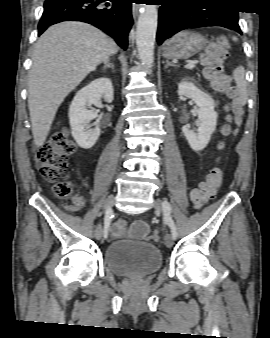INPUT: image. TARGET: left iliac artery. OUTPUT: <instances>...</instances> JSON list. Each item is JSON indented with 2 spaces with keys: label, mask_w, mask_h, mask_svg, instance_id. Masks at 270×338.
<instances>
[{
  "label": "left iliac artery",
  "mask_w": 270,
  "mask_h": 338,
  "mask_svg": "<svg viewBox=\"0 0 270 338\" xmlns=\"http://www.w3.org/2000/svg\"><path fill=\"white\" fill-rule=\"evenodd\" d=\"M163 212H164V220L167 222V224L169 225L170 229H171V234H172V238L173 240H176L178 237V233H177V229H176V225L174 223V220L171 217V205L168 201H163Z\"/></svg>",
  "instance_id": "obj_1"
}]
</instances>
